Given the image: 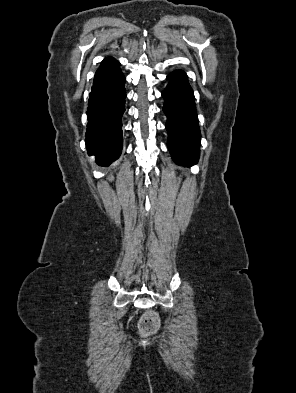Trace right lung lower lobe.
<instances>
[{"label": "right lung lower lobe", "mask_w": 296, "mask_h": 393, "mask_svg": "<svg viewBox=\"0 0 296 393\" xmlns=\"http://www.w3.org/2000/svg\"><path fill=\"white\" fill-rule=\"evenodd\" d=\"M125 77L119 62L105 58L97 70L87 109L86 147L100 166H109L122 151V115L125 111Z\"/></svg>", "instance_id": "1"}]
</instances>
